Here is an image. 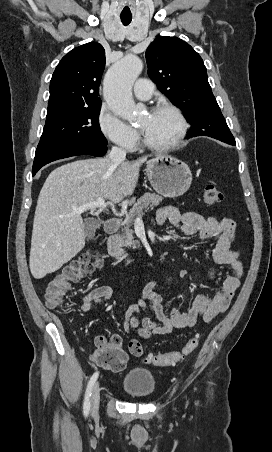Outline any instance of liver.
Masks as SVG:
<instances>
[{"label":"liver","instance_id":"6515ba94","mask_svg":"<svg viewBox=\"0 0 272 452\" xmlns=\"http://www.w3.org/2000/svg\"><path fill=\"white\" fill-rule=\"evenodd\" d=\"M147 158L118 165L109 157L82 159L49 174L33 222L29 266L35 279L57 271L84 248V223L74 209L99 197L118 203L131 195Z\"/></svg>","mask_w":272,"mask_h":452}]
</instances>
